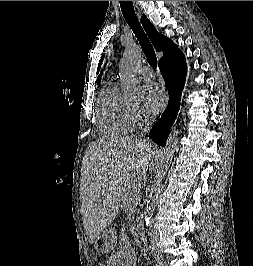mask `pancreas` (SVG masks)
Here are the masks:
<instances>
[{
    "label": "pancreas",
    "mask_w": 253,
    "mask_h": 266,
    "mask_svg": "<svg viewBox=\"0 0 253 266\" xmlns=\"http://www.w3.org/2000/svg\"><path fill=\"white\" fill-rule=\"evenodd\" d=\"M140 195L141 193L139 192L138 188L129 189L126 192V195L123 199V204L128 213L133 214L140 200Z\"/></svg>",
    "instance_id": "obj_1"
}]
</instances>
